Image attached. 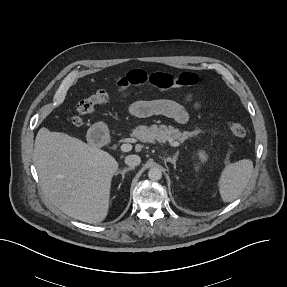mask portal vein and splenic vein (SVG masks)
<instances>
[{"instance_id":"portal-vein-and-splenic-vein-1","label":"portal vein and splenic vein","mask_w":287,"mask_h":287,"mask_svg":"<svg viewBox=\"0 0 287 287\" xmlns=\"http://www.w3.org/2000/svg\"><path fill=\"white\" fill-rule=\"evenodd\" d=\"M170 145L173 146V147H179L180 146V143L177 142V141H172L170 140L169 141ZM120 149L123 151V152H129L132 150V145L131 144H122Z\"/></svg>"}]
</instances>
